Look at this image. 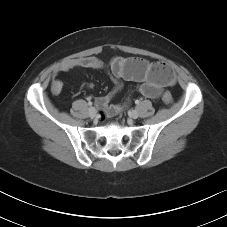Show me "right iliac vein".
I'll return each mask as SVG.
<instances>
[{"label": "right iliac vein", "instance_id": "right-iliac-vein-1", "mask_svg": "<svg viewBox=\"0 0 227 227\" xmlns=\"http://www.w3.org/2000/svg\"><path fill=\"white\" fill-rule=\"evenodd\" d=\"M96 115H97L96 109H95L94 107H93V108H90V109H89V116H90L91 118H95Z\"/></svg>", "mask_w": 227, "mask_h": 227}]
</instances>
